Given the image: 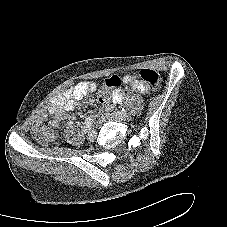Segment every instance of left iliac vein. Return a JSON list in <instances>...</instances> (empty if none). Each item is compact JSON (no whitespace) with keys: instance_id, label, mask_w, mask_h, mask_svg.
I'll use <instances>...</instances> for the list:
<instances>
[{"instance_id":"obj_1","label":"left iliac vein","mask_w":227,"mask_h":227,"mask_svg":"<svg viewBox=\"0 0 227 227\" xmlns=\"http://www.w3.org/2000/svg\"><path fill=\"white\" fill-rule=\"evenodd\" d=\"M128 114H122V113H107L104 117H102V121L109 120V121H123L128 119Z\"/></svg>"}]
</instances>
